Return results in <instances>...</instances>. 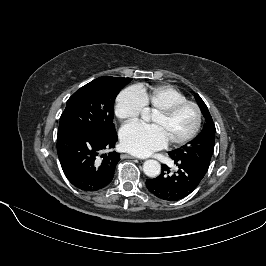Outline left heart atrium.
Listing matches in <instances>:
<instances>
[{
  "mask_svg": "<svg viewBox=\"0 0 266 266\" xmlns=\"http://www.w3.org/2000/svg\"><path fill=\"white\" fill-rule=\"evenodd\" d=\"M120 141L126 151L138 156H147L168 144V139L157 125L136 122L121 129Z\"/></svg>",
  "mask_w": 266,
  "mask_h": 266,
  "instance_id": "39dd6f15",
  "label": "left heart atrium"
}]
</instances>
